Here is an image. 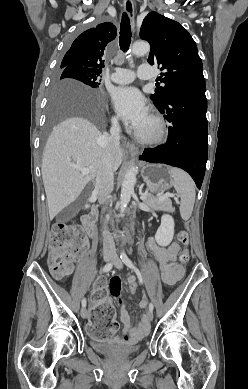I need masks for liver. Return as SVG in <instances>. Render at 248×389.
<instances>
[{"mask_svg":"<svg viewBox=\"0 0 248 389\" xmlns=\"http://www.w3.org/2000/svg\"><path fill=\"white\" fill-rule=\"evenodd\" d=\"M59 96L60 103L84 101L96 105L94 93L82 85L69 84ZM105 138L92 122L83 117L68 118L53 128L44 148L41 165L51 220L74 202L97 175ZM123 156L124 152L120 149L114 160V171L121 165ZM69 164L88 168L90 172L84 176Z\"/></svg>","mask_w":248,"mask_h":389,"instance_id":"liver-1","label":"liver"}]
</instances>
